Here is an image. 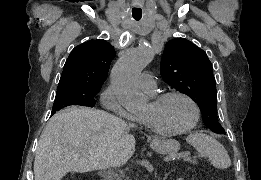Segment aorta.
Segmentation results:
<instances>
[{
    "label": "aorta",
    "mask_w": 261,
    "mask_h": 180,
    "mask_svg": "<svg viewBox=\"0 0 261 180\" xmlns=\"http://www.w3.org/2000/svg\"><path fill=\"white\" fill-rule=\"evenodd\" d=\"M152 58V49L143 44L120 57L112 68L111 83L114 92L120 104L128 111L139 110L145 104L137 81Z\"/></svg>",
    "instance_id": "obj_1"
}]
</instances>
